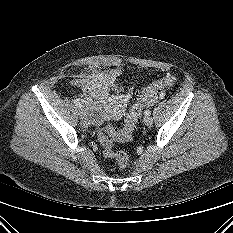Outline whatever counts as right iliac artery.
<instances>
[{
    "instance_id": "obj_1",
    "label": "right iliac artery",
    "mask_w": 233,
    "mask_h": 233,
    "mask_svg": "<svg viewBox=\"0 0 233 233\" xmlns=\"http://www.w3.org/2000/svg\"><path fill=\"white\" fill-rule=\"evenodd\" d=\"M73 102L78 108H81V102H80V100L78 98H74Z\"/></svg>"
}]
</instances>
